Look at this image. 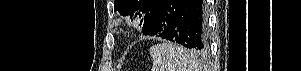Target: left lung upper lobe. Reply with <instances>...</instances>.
Masks as SVG:
<instances>
[{
    "label": "left lung upper lobe",
    "instance_id": "5c2ea615",
    "mask_svg": "<svg viewBox=\"0 0 301 71\" xmlns=\"http://www.w3.org/2000/svg\"><path fill=\"white\" fill-rule=\"evenodd\" d=\"M160 0H115L114 10L123 16L141 19L140 24L145 21Z\"/></svg>",
    "mask_w": 301,
    "mask_h": 71
}]
</instances>
